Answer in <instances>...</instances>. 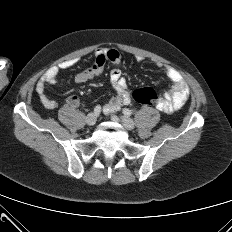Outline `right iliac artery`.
I'll use <instances>...</instances> for the list:
<instances>
[{"mask_svg":"<svg viewBox=\"0 0 232 232\" xmlns=\"http://www.w3.org/2000/svg\"><path fill=\"white\" fill-rule=\"evenodd\" d=\"M101 112V106L100 105H97L95 108H94V114L97 116L99 115Z\"/></svg>","mask_w":232,"mask_h":232,"instance_id":"right-iliac-artery-1","label":"right iliac artery"}]
</instances>
